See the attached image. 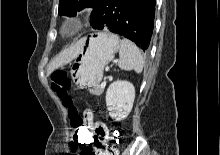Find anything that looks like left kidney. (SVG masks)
<instances>
[{
    "label": "left kidney",
    "instance_id": "5707ae66",
    "mask_svg": "<svg viewBox=\"0 0 220 155\" xmlns=\"http://www.w3.org/2000/svg\"><path fill=\"white\" fill-rule=\"evenodd\" d=\"M135 98L133 84L117 80L110 84L106 92V105L109 115L116 121L124 120L132 110Z\"/></svg>",
    "mask_w": 220,
    "mask_h": 155
}]
</instances>
